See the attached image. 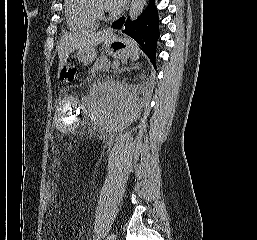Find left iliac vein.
<instances>
[{
	"mask_svg": "<svg viewBox=\"0 0 257 240\" xmlns=\"http://www.w3.org/2000/svg\"><path fill=\"white\" fill-rule=\"evenodd\" d=\"M117 236L115 233H111L110 235L107 236L106 240H116Z\"/></svg>",
	"mask_w": 257,
	"mask_h": 240,
	"instance_id": "1",
	"label": "left iliac vein"
}]
</instances>
